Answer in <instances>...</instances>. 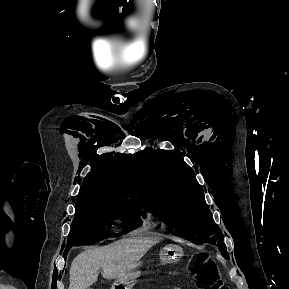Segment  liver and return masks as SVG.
Returning a JSON list of instances; mask_svg holds the SVG:
<instances>
[{"instance_id":"obj_1","label":"liver","mask_w":289,"mask_h":289,"mask_svg":"<svg viewBox=\"0 0 289 289\" xmlns=\"http://www.w3.org/2000/svg\"><path fill=\"white\" fill-rule=\"evenodd\" d=\"M157 243L155 239L126 238L109 246L80 253L70 267L69 289H89L102 268L105 279L125 276L138 266L139 260Z\"/></svg>"}]
</instances>
